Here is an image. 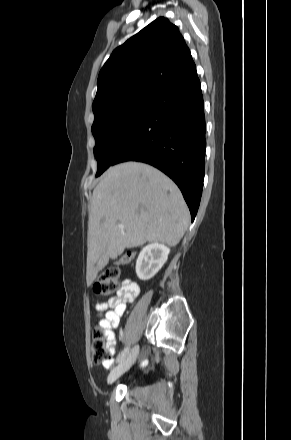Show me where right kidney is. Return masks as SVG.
Listing matches in <instances>:
<instances>
[{
	"label": "right kidney",
	"instance_id": "right-kidney-1",
	"mask_svg": "<svg viewBox=\"0 0 291 440\" xmlns=\"http://www.w3.org/2000/svg\"><path fill=\"white\" fill-rule=\"evenodd\" d=\"M170 249L164 244L151 243L146 245L136 261V274L141 280H149L164 265Z\"/></svg>",
	"mask_w": 291,
	"mask_h": 440
}]
</instances>
